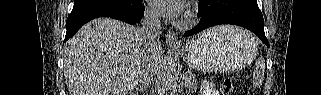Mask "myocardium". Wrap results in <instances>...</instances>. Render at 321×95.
Listing matches in <instances>:
<instances>
[{"label":"myocardium","mask_w":321,"mask_h":95,"mask_svg":"<svg viewBox=\"0 0 321 95\" xmlns=\"http://www.w3.org/2000/svg\"><path fill=\"white\" fill-rule=\"evenodd\" d=\"M195 23V12L192 9H189L178 21L179 27L188 28Z\"/></svg>","instance_id":"f54148a6"}]
</instances>
